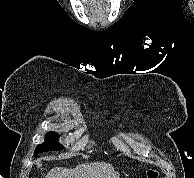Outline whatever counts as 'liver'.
<instances>
[{"label":"liver","mask_w":194,"mask_h":178,"mask_svg":"<svg viewBox=\"0 0 194 178\" xmlns=\"http://www.w3.org/2000/svg\"><path fill=\"white\" fill-rule=\"evenodd\" d=\"M46 178H119L114 167L105 162L79 164L73 169L53 168Z\"/></svg>","instance_id":"1"}]
</instances>
